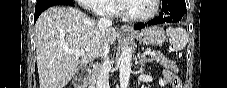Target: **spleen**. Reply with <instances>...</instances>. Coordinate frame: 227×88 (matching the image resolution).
<instances>
[{
	"label": "spleen",
	"mask_w": 227,
	"mask_h": 88,
	"mask_svg": "<svg viewBox=\"0 0 227 88\" xmlns=\"http://www.w3.org/2000/svg\"><path fill=\"white\" fill-rule=\"evenodd\" d=\"M166 34L175 51L183 50L186 47L189 35L182 27L170 26L166 29Z\"/></svg>",
	"instance_id": "1"
}]
</instances>
